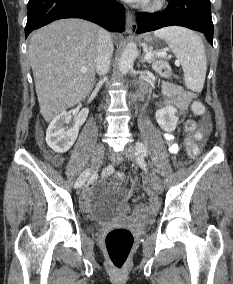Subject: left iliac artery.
I'll list each match as a JSON object with an SVG mask.
<instances>
[{
	"instance_id": "left-iliac-artery-1",
	"label": "left iliac artery",
	"mask_w": 233,
	"mask_h": 284,
	"mask_svg": "<svg viewBox=\"0 0 233 284\" xmlns=\"http://www.w3.org/2000/svg\"><path fill=\"white\" fill-rule=\"evenodd\" d=\"M136 149H137L138 153L141 154L142 156H147V149H146V147L144 146L143 143L137 142L136 143Z\"/></svg>"
}]
</instances>
